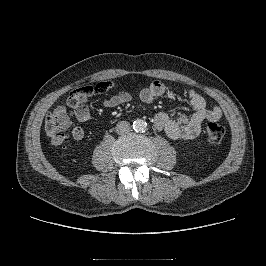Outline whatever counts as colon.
<instances>
[{"label":"colon","mask_w":266,"mask_h":266,"mask_svg":"<svg viewBox=\"0 0 266 266\" xmlns=\"http://www.w3.org/2000/svg\"><path fill=\"white\" fill-rule=\"evenodd\" d=\"M113 87L111 82H99L96 84L80 87L70 93L71 98L76 96L80 97H93L103 94ZM225 135V128L217 122H209L206 126V142L211 145L219 144Z\"/></svg>","instance_id":"colon-1"}]
</instances>
